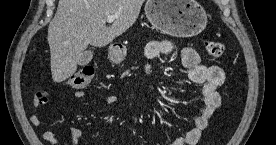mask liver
Wrapping results in <instances>:
<instances>
[{"mask_svg": "<svg viewBox=\"0 0 276 145\" xmlns=\"http://www.w3.org/2000/svg\"><path fill=\"white\" fill-rule=\"evenodd\" d=\"M145 0H59L48 27L52 79L60 83L74 75L88 45L104 47L137 20ZM117 16L110 27L108 16Z\"/></svg>", "mask_w": 276, "mask_h": 145, "instance_id": "1", "label": "liver"}]
</instances>
